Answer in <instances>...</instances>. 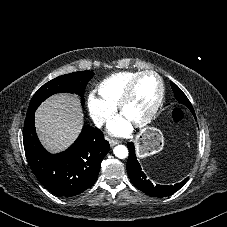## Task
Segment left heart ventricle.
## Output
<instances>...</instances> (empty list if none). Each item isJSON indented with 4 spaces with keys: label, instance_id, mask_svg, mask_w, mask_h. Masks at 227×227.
<instances>
[{
    "label": "left heart ventricle",
    "instance_id": "b2bd125f",
    "mask_svg": "<svg viewBox=\"0 0 227 227\" xmlns=\"http://www.w3.org/2000/svg\"><path fill=\"white\" fill-rule=\"evenodd\" d=\"M157 93V79L151 75L143 76L137 84L133 98L125 106L122 116L130 123L143 118L155 101Z\"/></svg>",
    "mask_w": 227,
    "mask_h": 227
}]
</instances>
